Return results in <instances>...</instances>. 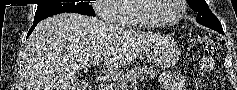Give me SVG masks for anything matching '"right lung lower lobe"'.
Returning a JSON list of instances; mask_svg holds the SVG:
<instances>
[{
    "instance_id": "obj_1",
    "label": "right lung lower lobe",
    "mask_w": 237,
    "mask_h": 90,
    "mask_svg": "<svg viewBox=\"0 0 237 90\" xmlns=\"http://www.w3.org/2000/svg\"><path fill=\"white\" fill-rule=\"evenodd\" d=\"M38 22H40V21H34L33 26L30 28V30H29L27 36H29V35L32 33V31L34 30V28L36 27V25L38 24Z\"/></svg>"
}]
</instances>
